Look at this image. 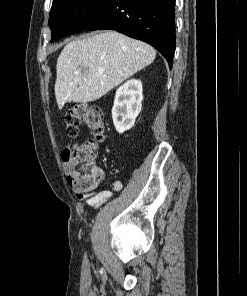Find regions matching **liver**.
<instances>
[{"mask_svg":"<svg viewBox=\"0 0 247 296\" xmlns=\"http://www.w3.org/2000/svg\"><path fill=\"white\" fill-rule=\"evenodd\" d=\"M155 57L152 46L116 31L67 43L56 65L54 90L59 109L67 102L98 100Z\"/></svg>","mask_w":247,"mask_h":296,"instance_id":"liver-1","label":"liver"}]
</instances>
